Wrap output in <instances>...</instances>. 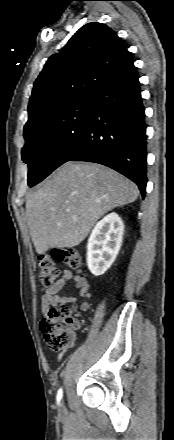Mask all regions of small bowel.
Here are the masks:
<instances>
[{
    "instance_id": "1",
    "label": "small bowel",
    "mask_w": 174,
    "mask_h": 440,
    "mask_svg": "<svg viewBox=\"0 0 174 440\" xmlns=\"http://www.w3.org/2000/svg\"><path fill=\"white\" fill-rule=\"evenodd\" d=\"M69 281H72L75 284L79 295L86 298L80 303V310L87 311L89 309L90 303L88 298L90 297V284L88 280L83 276L73 274L69 269H64L62 276L59 279H57L51 286L43 287L40 290L41 310L44 316L47 315L50 309H58L76 303V296L60 295V292L65 289Z\"/></svg>"
}]
</instances>
